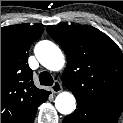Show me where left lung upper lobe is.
<instances>
[{"instance_id": "obj_1", "label": "left lung upper lobe", "mask_w": 123, "mask_h": 123, "mask_svg": "<svg viewBox=\"0 0 123 123\" xmlns=\"http://www.w3.org/2000/svg\"><path fill=\"white\" fill-rule=\"evenodd\" d=\"M50 36L67 56L64 86L76 100L123 109V54L117 44L89 26H48Z\"/></svg>"}]
</instances>
